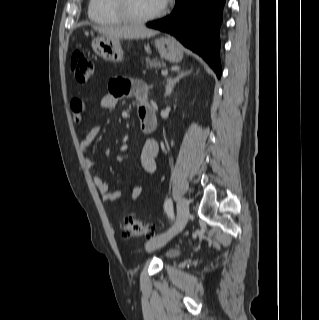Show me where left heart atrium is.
<instances>
[{
	"instance_id": "39dd6f15",
	"label": "left heart atrium",
	"mask_w": 319,
	"mask_h": 320,
	"mask_svg": "<svg viewBox=\"0 0 319 320\" xmlns=\"http://www.w3.org/2000/svg\"><path fill=\"white\" fill-rule=\"evenodd\" d=\"M158 1L162 7H164L168 2V0H158Z\"/></svg>"
}]
</instances>
